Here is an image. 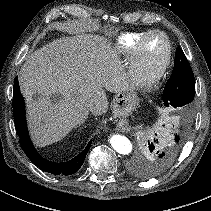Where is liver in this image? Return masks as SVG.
Instances as JSON below:
<instances>
[{"label":"liver","mask_w":211,"mask_h":211,"mask_svg":"<svg viewBox=\"0 0 211 211\" xmlns=\"http://www.w3.org/2000/svg\"><path fill=\"white\" fill-rule=\"evenodd\" d=\"M19 83L31 138L38 147L64 138L90 111L96 116L105 113L109 102L104 89L133 90L117 51L103 37L86 34L62 37L36 50L23 64ZM54 96L57 102H52Z\"/></svg>","instance_id":"liver-1"}]
</instances>
